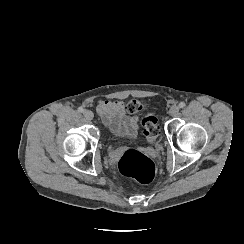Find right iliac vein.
Returning <instances> with one entry per match:
<instances>
[{"label": "right iliac vein", "mask_w": 244, "mask_h": 244, "mask_svg": "<svg viewBox=\"0 0 244 244\" xmlns=\"http://www.w3.org/2000/svg\"><path fill=\"white\" fill-rule=\"evenodd\" d=\"M83 115L85 116V118H86L87 120H92L93 117H94V114H93V112H92L91 110H85V111L83 112Z\"/></svg>", "instance_id": "63e3f726"}]
</instances>
